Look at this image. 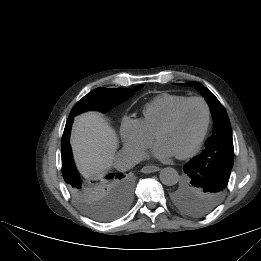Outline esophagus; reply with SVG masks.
<instances>
[{
	"instance_id": "34e87169",
	"label": "esophagus",
	"mask_w": 261,
	"mask_h": 261,
	"mask_svg": "<svg viewBox=\"0 0 261 261\" xmlns=\"http://www.w3.org/2000/svg\"><path fill=\"white\" fill-rule=\"evenodd\" d=\"M160 170V167L156 166V165H147L144 166L141 171L143 173H153V172H157Z\"/></svg>"
}]
</instances>
